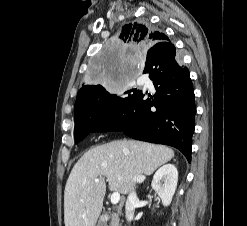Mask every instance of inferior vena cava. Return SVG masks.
<instances>
[{"label": "inferior vena cava", "instance_id": "1", "mask_svg": "<svg viewBox=\"0 0 247 226\" xmlns=\"http://www.w3.org/2000/svg\"><path fill=\"white\" fill-rule=\"evenodd\" d=\"M134 181L140 182L141 177L135 176ZM138 202H139V199L137 197V194L134 191L130 192V194L128 195L127 201H126V205H125V214H126L127 221L130 222L133 219L134 211H135V208L137 207Z\"/></svg>", "mask_w": 247, "mask_h": 226}]
</instances>
